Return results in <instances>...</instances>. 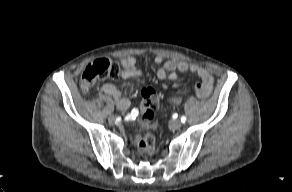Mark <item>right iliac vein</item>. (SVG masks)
<instances>
[{"label":"right iliac vein","instance_id":"63e3f726","mask_svg":"<svg viewBox=\"0 0 292 192\" xmlns=\"http://www.w3.org/2000/svg\"><path fill=\"white\" fill-rule=\"evenodd\" d=\"M108 120H109L110 123H115L117 118L114 115H110Z\"/></svg>","mask_w":292,"mask_h":192}]
</instances>
